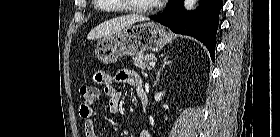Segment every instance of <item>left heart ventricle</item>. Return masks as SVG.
I'll return each mask as SVG.
<instances>
[{
    "label": "left heart ventricle",
    "mask_w": 280,
    "mask_h": 137,
    "mask_svg": "<svg viewBox=\"0 0 280 137\" xmlns=\"http://www.w3.org/2000/svg\"><path fill=\"white\" fill-rule=\"evenodd\" d=\"M135 5L140 6V7H147L151 4H153L155 1L154 0H132ZM158 28V26H156Z\"/></svg>",
    "instance_id": "obj_1"
}]
</instances>
